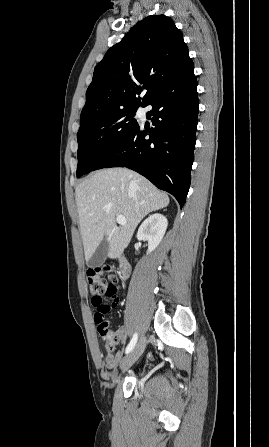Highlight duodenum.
Returning <instances> with one entry per match:
<instances>
[{
    "label": "duodenum",
    "mask_w": 269,
    "mask_h": 447,
    "mask_svg": "<svg viewBox=\"0 0 269 447\" xmlns=\"http://www.w3.org/2000/svg\"><path fill=\"white\" fill-rule=\"evenodd\" d=\"M130 274V265L127 259L123 256L119 258V275L122 279L128 278Z\"/></svg>",
    "instance_id": "1"
}]
</instances>
